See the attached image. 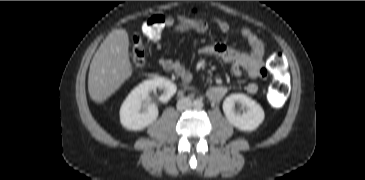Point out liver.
I'll return each mask as SVG.
<instances>
[{
	"mask_svg": "<svg viewBox=\"0 0 365 180\" xmlns=\"http://www.w3.org/2000/svg\"><path fill=\"white\" fill-rule=\"evenodd\" d=\"M128 49L129 37L124 29L113 30L100 45L88 76V91L93 101H106L132 75Z\"/></svg>",
	"mask_w": 365,
	"mask_h": 180,
	"instance_id": "1",
	"label": "liver"
}]
</instances>
